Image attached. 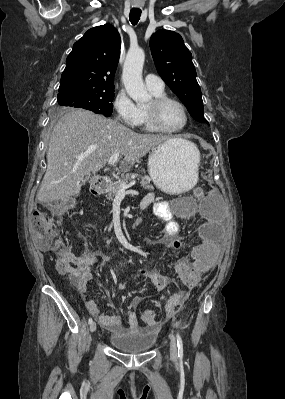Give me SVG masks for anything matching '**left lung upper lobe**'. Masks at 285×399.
<instances>
[{
  "instance_id": "obj_1",
  "label": "left lung upper lobe",
  "mask_w": 285,
  "mask_h": 399,
  "mask_svg": "<svg viewBox=\"0 0 285 399\" xmlns=\"http://www.w3.org/2000/svg\"><path fill=\"white\" fill-rule=\"evenodd\" d=\"M156 69L198 122H205L201 89L196 80L192 54L180 34L169 30H158L149 42Z\"/></svg>"
}]
</instances>
